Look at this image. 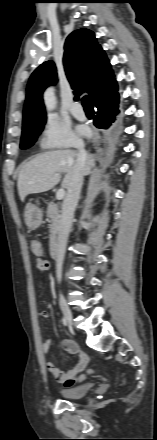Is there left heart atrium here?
Segmentation results:
<instances>
[{
	"label": "left heart atrium",
	"instance_id": "obj_1",
	"mask_svg": "<svg viewBox=\"0 0 157 440\" xmlns=\"http://www.w3.org/2000/svg\"><path fill=\"white\" fill-rule=\"evenodd\" d=\"M76 129L82 136H88L90 134V129L86 124H79L76 126Z\"/></svg>",
	"mask_w": 157,
	"mask_h": 440
}]
</instances>
